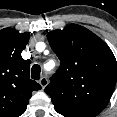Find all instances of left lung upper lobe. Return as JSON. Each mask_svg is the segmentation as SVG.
I'll use <instances>...</instances> for the list:
<instances>
[{"instance_id":"1","label":"left lung upper lobe","mask_w":117,"mask_h":117,"mask_svg":"<svg viewBox=\"0 0 117 117\" xmlns=\"http://www.w3.org/2000/svg\"><path fill=\"white\" fill-rule=\"evenodd\" d=\"M60 59L45 92L64 117H96L106 106L117 79V62L109 46L88 29L70 24L47 34Z\"/></svg>"}]
</instances>
